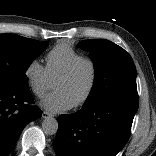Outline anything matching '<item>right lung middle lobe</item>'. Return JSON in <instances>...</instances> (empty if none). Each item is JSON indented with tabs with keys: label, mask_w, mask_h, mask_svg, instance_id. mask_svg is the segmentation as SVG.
<instances>
[{
	"label": "right lung middle lobe",
	"mask_w": 156,
	"mask_h": 156,
	"mask_svg": "<svg viewBox=\"0 0 156 156\" xmlns=\"http://www.w3.org/2000/svg\"><path fill=\"white\" fill-rule=\"evenodd\" d=\"M48 46L15 34H0V84L28 88L26 70Z\"/></svg>",
	"instance_id": "right-lung-middle-lobe-1"
}]
</instances>
